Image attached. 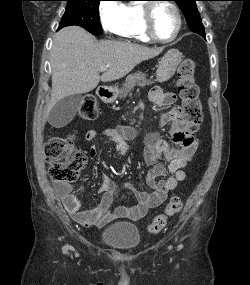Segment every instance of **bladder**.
<instances>
[{
    "instance_id": "31cf9c89",
    "label": "bladder",
    "mask_w": 250,
    "mask_h": 285,
    "mask_svg": "<svg viewBox=\"0 0 250 285\" xmlns=\"http://www.w3.org/2000/svg\"><path fill=\"white\" fill-rule=\"evenodd\" d=\"M101 240L114 248L127 250L140 243V232L131 222L118 221L109 224L101 232Z\"/></svg>"
}]
</instances>
